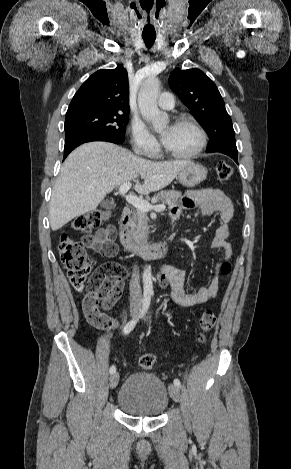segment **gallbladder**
Wrapping results in <instances>:
<instances>
[{
  "label": "gallbladder",
  "mask_w": 291,
  "mask_h": 469,
  "mask_svg": "<svg viewBox=\"0 0 291 469\" xmlns=\"http://www.w3.org/2000/svg\"><path fill=\"white\" fill-rule=\"evenodd\" d=\"M101 206L106 209H113L115 207V203L112 200H105L102 202Z\"/></svg>",
  "instance_id": "1"
}]
</instances>
